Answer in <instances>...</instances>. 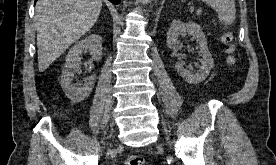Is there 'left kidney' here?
<instances>
[{"label":"left kidney","instance_id":"1","mask_svg":"<svg viewBox=\"0 0 276 165\" xmlns=\"http://www.w3.org/2000/svg\"><path fill=\"white\" fill-rule=\"evenodd\" d=\"M183 33L192 35L199 45V55L202 57L200 59L201 65L198 66L197 71H193L192 68L186 69L182 62H177L176 70L188 83L197 84L207 78L210 70L214 67V61L208 49L205 34L200 25L195 22L183 23L180 20H173L167 34V46L173 50L180 49L182 44L178 38Z\"/></svg>","mask_w":276,"mask_h":165}]
</instances>
